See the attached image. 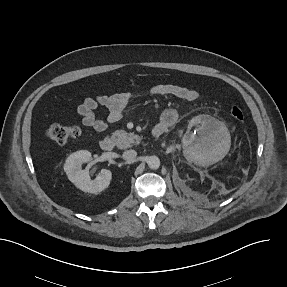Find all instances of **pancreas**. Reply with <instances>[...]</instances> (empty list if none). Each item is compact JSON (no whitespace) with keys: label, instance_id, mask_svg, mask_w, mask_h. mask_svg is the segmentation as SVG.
<instances>
[{"label":"pancreas","instance_id":"1","mask_svg":"<svg viewBox=\"0 0 287 287\" xmlns=\"http://www.w3.org/2000/svg\"><path fill=\"white\" fill-rule=\"evenodd\" d=\"M112 138L115 140L119 149H126L132 147L133 144H138L140 138L134 133H127L124 130H117L112 133Z\"/></svg>","mask_w":287,"mask_h":287}]
</instances>
